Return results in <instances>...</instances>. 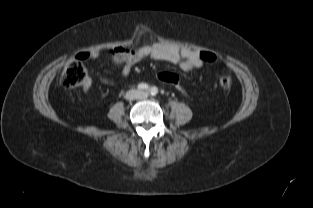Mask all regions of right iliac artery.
Instances as JSON below:
<instances>
[{
    "label": "right iliac artery",
    "mask_w": 313,
    "mask_h": 208,
    "mask_svg": "<svg viewBox=\"0 0 313 208\" xmlns=\"http://www.w3.org/2000/svg\"><path fill=\"white\" fill-rule=\"evenodd\" d=\"M137 88L139 90H143L144 91V90H148L149 86L146 83H140V84H138Z\"/></svg>",
    "instance_id": "82829eb1"
}]
</instances>
